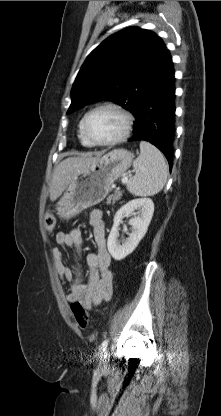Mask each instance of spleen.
Listing matches in <instances>:
<instances>
[{"mask_svg": "<svg viewBox=\"0 0 221 416\" xmlns=\"http://www.w3.org/2000/svg\"><path fill=\"white\" fill-rule=\"evenodd\" d=\"M135 175L127 182V190L135 196H153L160 192L168 175L163 154L149 142H140V155L134 160Z\"/></svg>", "mask_w": 221, "mask_h": 416, "instance_id": "3e777b00", "label": "spleen"}]
</instances>
